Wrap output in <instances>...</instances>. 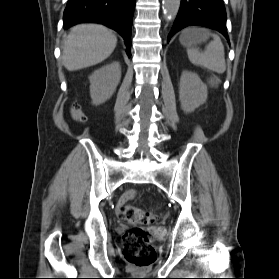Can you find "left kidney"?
Segmentation results:
<instances>
[{
    "instance_id": "obj_1",
    "label": "left kidney",
    "mask_w": 279,
    "mask_h": 279,
    "mask_svg": "<svg viewBox=\"0 0 279 279\" xmlns=\"http://www.w3.org/2000/svg\"><path fill=\"white\" fill-rule=\"evenodd\" d=\"M207 86L191 71H183L179 84V100L184 112H193L207 100Z\"/></svg>"
}]
</instances>
